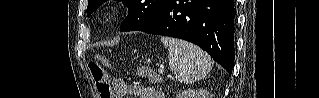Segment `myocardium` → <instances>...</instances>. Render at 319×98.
Returning <instances> with one entry per match:
<instances>
[{
	"label": "myocardium",
	"instance_id": "obj_1",
	"mask_svg": "<svg viewBox=\"0 0 319 98\" xmlns=\"http://www.w3.org/2000/svg\"><path fill=\"white\" fill-rule=\"evenodd\" d=\"M113 12L111 10H106L103 12L102 17L103 19H110L112 17Z\"/></svg>",
	"mask_w": 319,
	"mask_h": 98
}]
</instances>
